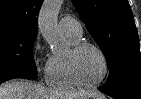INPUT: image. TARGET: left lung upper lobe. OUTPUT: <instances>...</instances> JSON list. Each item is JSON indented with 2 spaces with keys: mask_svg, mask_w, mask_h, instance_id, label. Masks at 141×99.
I'll return each instance as SVG.
<instances>
[{
  "mask_svg": "<svg viewBox=\"0 0 141 99\" xmlns=\"http://www.w3.org/2000/svg\"><path fill=\"white\" fill-rule=\"evenodd\" d=\"M110 69L106 85L141 80L138 33L128 0H72Z\"/></svg>",
  "mask_w": 141,
  "mask_h": 99,
  "instance_id": "1",
  "label": "left lung upper lobe"
}]
</instances>
